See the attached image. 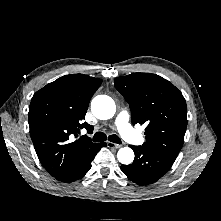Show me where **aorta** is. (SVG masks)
<instances>
[{"label":"aorta","mask_w":221,"mask_h":221,"mask_svg":"<svg viewBox=\"0 0 221 221\" xmlns=\"http://www.w3.org/2000/svg\"><path fill=\"white\" fill-rule=\"evenodd\" d=\"M91 111L95 117L107 120L114 116L116 106L114 100L107 95H98L91 102ZM117 158L121 164L129 165L134 160V152L129 147L119 149Z\"/></svg>","instance_id":"obj_1"}]
</instances>
